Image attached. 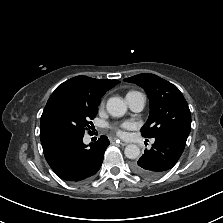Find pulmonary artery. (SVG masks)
Listing matches in <instances>:
<instances>
[{
  "instance_id": "1",
  "label": "pulmonary artery",
  "mask_w": 223,
  "mask_h": 223,
  "mask_svg": "<svg viewBox=\"0 0 223 223\" xmlns=\"http://www.w3.org/2000/svg\"><path fill=\"white\" fill-rule=\"evenodd\" d=\"M127 102L132 111L140 112L145 106L146 98L142 93L135 92L127 96Z\"/></svg>"
}]
</instances>
